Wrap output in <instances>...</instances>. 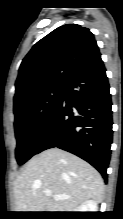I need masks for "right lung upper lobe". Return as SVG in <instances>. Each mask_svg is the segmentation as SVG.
<instances>
[{
  "label": "right lung upper lobe",
  "mask_w": 123,
  "mask_h": 219,
  "mask_svg": "<svg viewBox=\"0 0 123 219\" xmlns=\"http://www.w3.org/2000/svg\"><path fill=\"white\" fill-rule=\"evenodd\" d=\"M101 56L94 35L77 24L62 25L38 41L23 59L14 103L38 90L66 85Z\"/></svg>",
  "instance_id": "cb5924a9"
}]
</instances>
